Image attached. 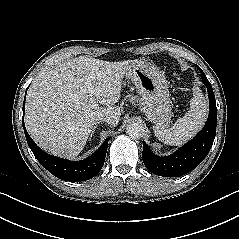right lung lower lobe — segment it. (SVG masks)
<instances>
[{"mask_svg": "<svg viewBox=\"0 0 239 239\" xmlns=\"http://www.w3.org/2000/svg\"><path fill=\"white\" fill-rule=\"evenodd\" d=\"M24 107L25 99L23 104V110ZM22 124L27 143L32 150L34 156L45 169H47L57 178L72 182L85 181L96 176L102 169L110 137H108L101 145V147L89 158L78 162H72L49 155L43 150H41L27 133L23 119Z\"/></svg>", "mask_w": 239, "mask_h": 239, "instance_id": "obj_1", "label": "right lung lower lobe"}]
</instances>
